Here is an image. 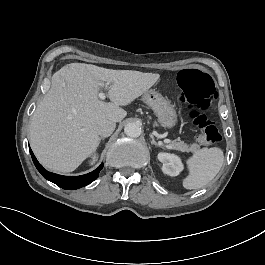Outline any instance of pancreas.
Listing matches in <instances>:
<instances>
[{
	"instance_id": "1",
	"label": "pancreas",
	"mask_w": 265,
	"mask_h": 265,
	"mask_svg": "<svg viewBox=\"0 0 265 265\" xmlns=\"http://www.w3.org/2000/svg\"><path fill=\"white\" fill-rule=\"evenodd\" d=\"M172 149L179 150L182 152H196L200 149V146L196 143L187 145L183 141L174 140L170 143Z\"/></svg>"
}]
</instances>
